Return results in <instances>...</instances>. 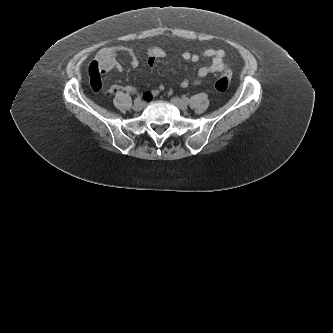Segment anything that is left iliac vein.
Here are the masks:
<instances>
[{"instance_id": "4c4485c4", "label": "left iliac vein", "mask_w": 333, "mask_h": 333, "mask_svg": "<svg viewBox=\"0 0 333 333\" xmlns=\"http://www.w3.org/2000/svg\"><path fill=\"white\" fill-rule=\"evenodd\" d=\"M171 103L182 111L187 110V104L182 99H180L178 97H173L171 99Z\"/></svg>"}]
</instances>
